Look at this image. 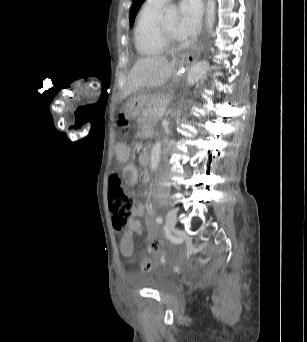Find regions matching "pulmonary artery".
<instances>
[{"instance_id": "pulmonary-artery-1", "label": "pulmonary artery", "mask_w": 307, "mask_h": 342, "mask_svg": "<svg viewBox=\"0 0 307 342\" xmlns=\"http://www.w3.org/2000/svg\"><path fill=\"white\" fill-rule=\"evenodd\" d=\"M172 1H146L147 8L159 12L165 5Z\"/></svg>"}]
</instances>
